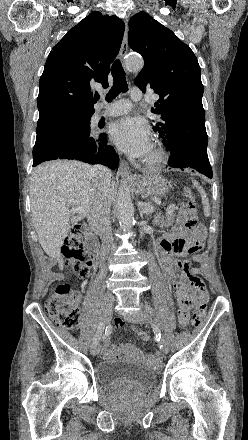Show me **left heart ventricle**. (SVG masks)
<instances>
[{
	"label": "left heart ventricle",
	"instance_id": "1",
	"mask_svg": "<svg viewBox=\"0 0 248 440\" xmlns=\"http://www.w3.org/2000/svg\"><path fill=\"white\" fill-rule=\"evenodd\" d=\"M152 153V150L150 151V153L148 154V156Z\"/></svg>",
	"mask_w": 248,
	"mask_h": 440
}]
</instances>
